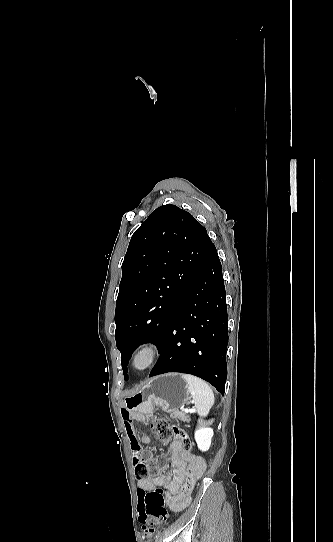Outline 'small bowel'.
Masks as SVG:
<instances>
[{"mask_svg": "<svg viewBox=\"0 0 333 542\" xmlns=\"http://www.w3.org/2000/svg\"><path fill=\"white\" fill-rule=\"evenodd\" d=\"M120 416L125 423V430L131 445V456L135 460L142 459L143 462L153 461V454L149 452L142 453L141 443L149 444L151 438L147 434H142L140 439L134 427L135 413L133 409H122ZM147 423L146 421H141ZM141 442V443H140ZM158 462L165 460L163 453L156 455ZM170 464L171 470L167 474H162L160 469L156 473L139 481V487L145 490L162 487L165 491L166 503L173 512H179L185 509L192 500L193 487L199 482L206 471L205 460L190 451L186 450L182 439L175 438L170 445Z\"/></svg>", "mask_w": 333, "mask_h": 542, "instance_id": "obj_1", "label": "small bowel"}]
</instances>
